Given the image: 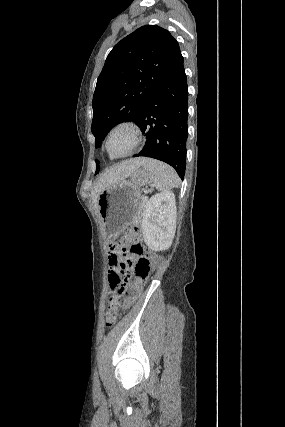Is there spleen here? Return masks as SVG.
<instances>
[{
    "label": "spleen",
    "mask_w": 285,
    "mask_h": 427,
    "mask_svg": "<svg viewBox=\"0 0 285 427\" xmlns=\"http://www.w3.org/2000/svg\"><path fill=\"white\" fill-rule=\"evenodd\" d=\"M142 166L157 190L166 192L180 185V179L171 166L154 159H146Z\"/></svg>",
    "instance_id": "1"
}]
</instances>
